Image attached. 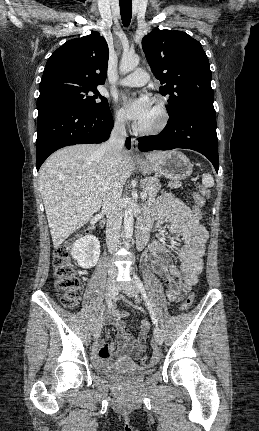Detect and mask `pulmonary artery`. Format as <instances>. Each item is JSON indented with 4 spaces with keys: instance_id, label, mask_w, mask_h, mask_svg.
Returning <instances> with one entry per match:
<instances>
[{
    "instance_id": "1",
    "label": "pulmonary artery",
    "mask_w": 259,
    "mask_h": 431,
    "mask_svg": "<svg viewBox=\"0 0 259 431\" xmlns=\"http://www.w3.org/2000/svg\"><path fill=\"white\" fill-rule=\"evenodd\" d=\"M148 81V74L145 70L138 68L130 75L119 80L118 84L123 86H142Z\"/></svg>"
}]
</instances>
